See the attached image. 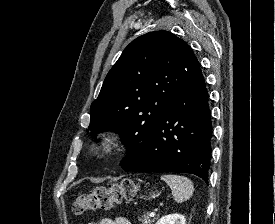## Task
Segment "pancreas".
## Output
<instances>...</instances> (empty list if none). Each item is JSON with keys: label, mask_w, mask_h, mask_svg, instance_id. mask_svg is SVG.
Wrapping results in <instances>:
<instances>
[{"label": "pancreas", "mask_w": 275, "mask_h": 224, "mask_svg": "<svg viewBox=\"0 0 275 224\" xmlns=\"http://www.w3.org/2000/svg\"><path fill=\"white\" fill-rule=\"evenodd\" d=\"M155 219L157 218L150 219L148 215H143L139 218V221L141 222V224H152L155 221Z\"/></svg>", "instance_id": "1"}]
</instances>
